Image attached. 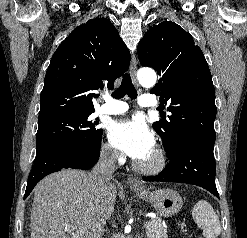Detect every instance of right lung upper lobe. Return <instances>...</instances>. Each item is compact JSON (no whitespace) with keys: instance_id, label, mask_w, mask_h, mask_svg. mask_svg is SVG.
I'll use <instances>...</instances> for the list:
<instances>
[{"instance_id":"1","label":"right lung upper lobe","mask_w":247,"mask_h":238,"mask_svg":"<svg viewBox=\"0 0 247 238\" xmlns=\"http://www.w3.org/2000/svg\"><path fill=\"white\" fill-rule=\"evenodd\" d=\"M131 55L114 25L95 18L75 28L59 45L46 72L39 122L94 112L93 90L113 88Z\"/></svg>"}]
</instances>
